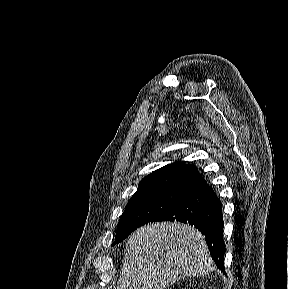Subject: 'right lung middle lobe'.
Instances as JSON below:
<instances>
[{
    "label": "right lung middle lobe",
    "instance_id": "right-lung-middle-lobe-1",
    "mask_svg": "<svg viewBox=\"0 0 288 289\" xmlns=\"http://www.w3.org/2000/svg\"><path fill=\"white\" fill-rule=\"evenodd\" d=\"M187 190L152 188L137 191L123 212L112 245L123 241L138 227L154 220L186 195Z\"/></svg>",
    "mask_w": 288,
    "mask_h": 289
}]
</instances>
